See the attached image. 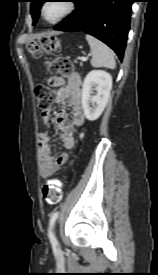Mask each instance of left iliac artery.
Listing matches in <instances>:
<instances>
[{"label":"left iliac artery","instance_id":"left-iliac-artery-1","mask_svg":"<svg viewBox=\"0 0 158 275\" xmlns=\"http://www.w3.org/2000/svg\"><path fill=\"white\" fill-rule=\"evenodd\" d=\"M58 215H59V212H58V211L54 212V213L51 215L50 221H49L48 237H49L50 242H51V244H52L53 246H56V245H57V240H56V238H55V236H54V234H53V232H52V228H53V225H54V223H55V221H56Z\"/></svg>","mask_w":158,"mask_h":275}]
</instances>
